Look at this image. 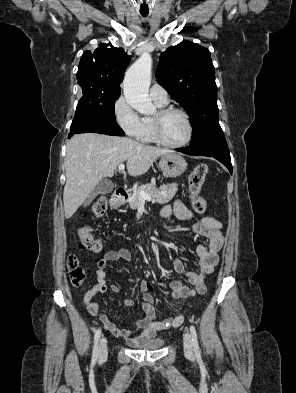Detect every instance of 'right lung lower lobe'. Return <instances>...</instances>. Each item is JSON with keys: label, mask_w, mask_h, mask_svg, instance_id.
I'll use <instances>...</instances> for the list:
<instances>
[{"label": "right lung lower lobe", "mask_w": 296, "mask_h": 393, "mask_svg": "<svg viewBox=\"0 0 296 393\" xmlns=\"http://www.w3.org/2000/svg\"><path fill=\"white\" fill-rule=\"evenodd\" d=\"M100 133L123 136L125 133L116 122L108 121L98 115L90 113H75L68 138L78 133Z\"/></svg>", "instance_id": "1"}]
</instances>
